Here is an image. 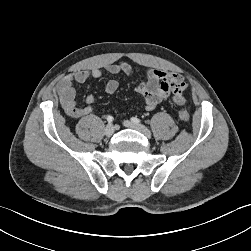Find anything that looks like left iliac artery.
Returning <instances> with one entry per match:
<instances>
[{"instance_id":"44dca946","label":"left iliac artery","mask_w":251,"mask_h":251,"mask_svg":"<svg viewBox=\"0 0 251 251\" xmlns=\"http://www.w3.org/2000/svg\"><path fill=\"white\" fill-rule=\"evenodd\" d=\"M131 121H132L133 123H135V124H140V123H141L140 119H138L137 117H132V118H131Z\"/></svg>"}]
</instances>
